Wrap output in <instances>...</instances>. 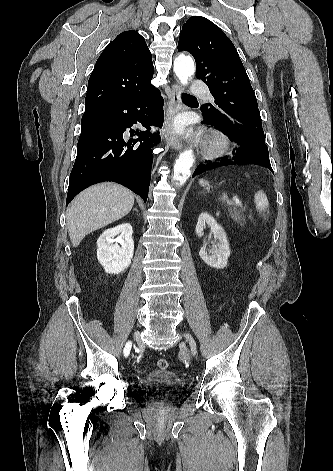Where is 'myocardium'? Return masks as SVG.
Here are the masks:
<instances>
[{
	"label": "myocardium",
	"instance_id": "1",
	"mask_svg": "<svg viewBox=\"0 0 333 471\" xmlns=\"http://www.w3.org/2000/svg\"><path fill=\"white\" fill-rule=\"evenodd\" d=\"M231 147V141L222 132L210 133L204 143V153L209 158H216L225 155Z\"/></svg>",
	"mask_w": 333,
	"mask_h": 471
}]
</instances>
